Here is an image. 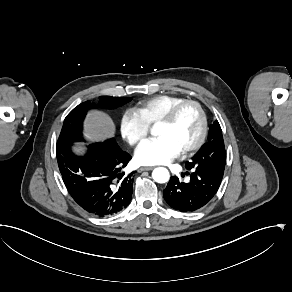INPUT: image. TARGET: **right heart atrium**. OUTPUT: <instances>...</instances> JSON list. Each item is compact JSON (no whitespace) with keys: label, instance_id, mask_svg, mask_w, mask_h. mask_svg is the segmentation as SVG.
I'll return each mask as SVG.
<instances>
[{"label":"right heart atrium","instance_id":"d8ad5b80","mask_svg":"<svg viewBox=\"0 0 292 292\" xmlns=\"http://www.w3.org/2000/svg\"><path fill=\"white\" fill-rule=\"evenodd\" d=\"M149 126L133 108L125 109L119 119L122 138L131 145L141 142L148 133Z\"/></svg>","mask_w":292,"mask_h":292}]
</instances>
